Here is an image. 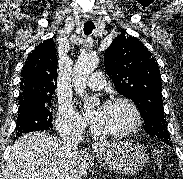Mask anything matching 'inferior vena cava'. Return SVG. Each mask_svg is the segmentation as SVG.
I'll return each mask as SVG.
<instances>
[{"label":"inferior vena cava","instance_id":"inferior-vena-cava-1","mask_svg":"<svg viewBox=\"0 0 183 179\" xmlns=\"http://www.w3.org/2000/svg\"><path fill=\"white\" fill-rule=\"evenodd\" d=\"M61 137L70 157L75 161L79 154L78 145L83 140V130L72 129L62 134Z\"/></svg>","mask_w":183,"mask_h":179}]
</instances>
